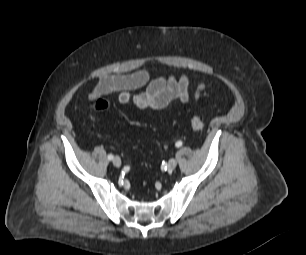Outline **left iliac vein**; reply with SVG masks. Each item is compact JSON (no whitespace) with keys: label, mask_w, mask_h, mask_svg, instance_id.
Returning a JSON list of instances; mask_svg holds the SVG:
<instances>
[{"label":"left iliac vein","mask_w":306,"mask_h":255,"mask_svg":"<svg viewBox=\"0 0 306 255\" xmlns=\"http://www.w3.org/2000/svg\"><path fill=\"white\" fill-rule=\"evenodd\" d=\"M177 166V161L176 159L174 158H171L169 161H168V164H167V170L168 172H172Z\"/></svg>","instance_id":"1"}]
</instances>
